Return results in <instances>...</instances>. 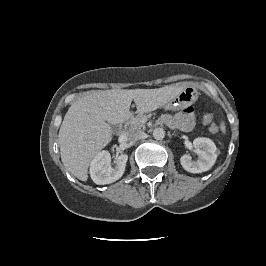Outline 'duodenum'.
<instances>
[{"label": "duodenum", "mask_w": 266, "mask_h": 266, "mask_svg": "<svg viewBox=\"0 0 266 266\" xmlns=\"http://www.w3.org/2000/svg\"><path fill=\"white\" fill-rule=\"evenodd\" d=\"M123 129H124V122L121 123L120 125H118V127H117V131H118L119 133H122V132H123Z\"/></svg>", "instance_id": "duodenum-1"}]
</instances>
